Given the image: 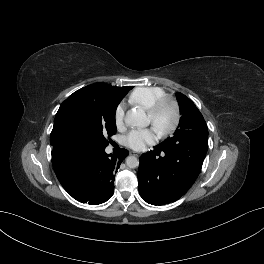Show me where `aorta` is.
<instances>
[{"mask_svg": "<svg viewBox=\"0 0 264 264\" xmlns=\"http://www.w3.org/2000/svg\"><path fill=\"white\" fill-rule=\"evenodd\" d=\"M125 122L133 127H146L149 124L146 113L140 109H131L128 111ZM126 165L129 168H136L139 166V160L135 156H128L126 158Z\"/></svg>", "mask_w": 264, "mask_h": 264, "instance_id": "obj_1", "label": "aorta"}]
</instances>
